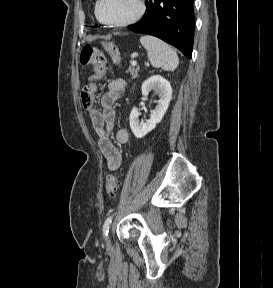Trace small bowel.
<instances>
[{
  "label": "small bowel",
  "instance_id": "small-bowel-1",
  "mask_svg": "<svg viewBox=\"0 0 273 288\" xmlns=\"http://www.w3.org/2000/svg\"><path fill=\"white\" fill-rule=\"evenodd\" d=\"M125 87L126 82L123 79L109 82L107 91L102 94L100 99L101 109L94 108L90 111L92 126L98 135V146L111 171H116L122 161L118 148L111 140V134L116 115L114 103L122 97ZM115 137L117 143L125 144L129 140V133L126 129L121 128L116 132Z\"/></svg>",
  "mask_w": 273,
  "mask_h": 288
}]
</instances>
